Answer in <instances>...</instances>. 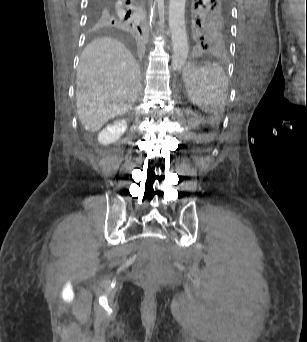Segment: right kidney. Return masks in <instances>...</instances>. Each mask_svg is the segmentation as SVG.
I'll return each mask as SVG.
<instances>
[{
    "label": "right kidney",
    "instance_id": "right-kidney-1",
    "mask_svg": "<svg viewBox=\"0 0 307 342\" xmlns=\"http://www.w3.org/2000/svg\"><path fill=\"white\" fill-rule=\"evenodd\" d=\"M128 124L126 120H117V122H112L109 126H106L100 134H98V142L103 144V146H108V144H114L116 140H119L126 132Z\"/></svg>",
    "mask_w": 307,
    "mask_h": 342
}]
</instances>
